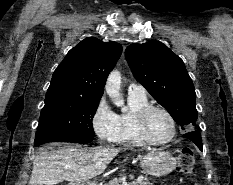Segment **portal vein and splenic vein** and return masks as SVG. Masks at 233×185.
<instances>
[{
    "mask_svg": "<svg viewBox=\"0 0 233 185\" xmlns=\"http://www.w3.org/2000/svg\"><path fill=\"white\" fill-rule=\"evenodd\" d=\"M64 168L65 169H69V168L75 169V168H78V166L77 165H65ZM124 185H127V184H124ZM128 185H130V184H128Z\"/></svg>",
    "mask_w": 233,
    "mask_h": 185,
    "instance_id": "obj_1",
    "label": "portal vein and splenic vein"
}]
</instances>
